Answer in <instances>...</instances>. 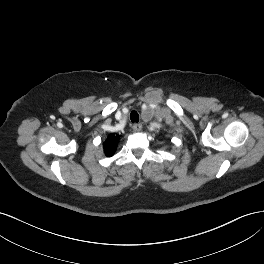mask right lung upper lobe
<instances>
[{"instance_id": "obj_1", "label": "right lung upper lobe", "mask_w": 264, "mask_h": 264, "mask_svg": "<svg viewBox=\"0 0 264 264\" xmlns=\"http://www.w3.org/2000/svg\"><path fill=\"white\" fill-rule=\"evenodd\" d=\"M119 135L110 134L103 144L104 152L106 156H112L118 145Z\"/></svg>"}]
</instances>
